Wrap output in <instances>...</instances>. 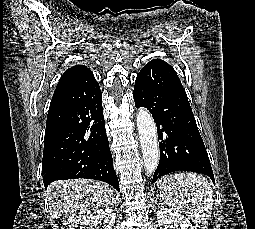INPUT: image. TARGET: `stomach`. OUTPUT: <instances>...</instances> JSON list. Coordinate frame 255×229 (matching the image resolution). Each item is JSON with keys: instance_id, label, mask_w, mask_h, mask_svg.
Instances as JSON below:
<instances>
[{"instance_id": "obj_1", "label": "stomach", "mask_w": 255, "mask_h": 229, "mask_svg": "<svg viewBox=\"0 0 255 229\" xmlns=\"http://www.w3.org/2000/svg\"><path fill=\"white\" fill-rule=\"evenodd\" d=\"M158 186L161 190L167 191H174L177 190V188L181 187L179 182L173 177V175L162 178L159 181Z\"/></svg>"}]
</instances>
